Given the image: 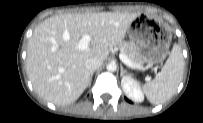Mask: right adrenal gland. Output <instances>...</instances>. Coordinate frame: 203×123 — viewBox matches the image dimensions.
Listing matches in <instances>:
<instances>
[{"instance_id":"1","label":"right adrenal gland","mask_w":203,"mask_h":123,"mask_svg":"<svg viewBox=\"0 0 203 123\" xmlns=\"http://www.w3.org/2000/svg\"><path fill=\"white\" fill-rule=\"evenodd\" d=\"M93 74H94V72H91V74H90V78H89L88 87L91 86Z\"/></svg>"}]
</instances>
